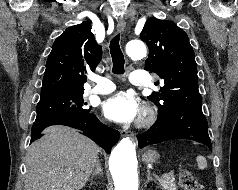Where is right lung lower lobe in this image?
Segmentation results:
<instances>
[{"label":"right lung lower lobe","instance_id":"98d812e1","mask_svg":"<svg viewBox=\"0 0 238 190\" xmlns=\"http://www.w3.org/2000/svg\"><path fill=\"white\" fill-rule=\"evenodd\" d=\"M51 125H66L84 131L89 138L108 153H110L111 148L118 142L120 137L117 130L102 124L93 113H87L35 120L31 131V142L40 138L43 129Z\"/></svg>","mask_w":238,"mask_h":190}]
</instances>
